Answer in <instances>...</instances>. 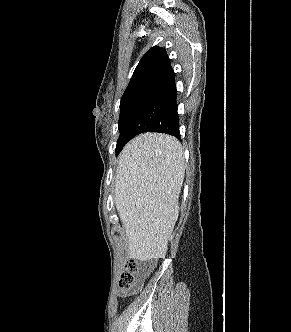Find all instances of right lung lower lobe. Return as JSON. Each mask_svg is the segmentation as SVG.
<instances>
[{"label": "right lung lower lobe", "mask_w": 291, "mask_h": 332, "mask_svg": "<svg viewBox=\"0 0 291 332\" xmlns=\"http://www.w3.org/2000/svg\"><path fill=\"white\" fill-rule=\"evenodd\" d=\"M176 95V85L173 78L143 97L134 109L133 115L125 128L124 145L132 137L144 132L166 133L179 138Z\"/></svg>", "instance_id": "98d812e1"}]
</instances>
